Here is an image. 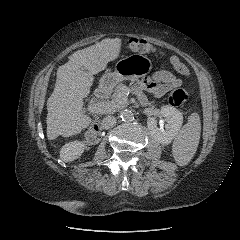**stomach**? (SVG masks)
<instances>
[{"instance_id":"obj_1","label":"stomach","mask_w":240,"mask_h":240,"mask_svg":"<svg viewBox=\"0 0 240 240\" xmlns=\"http://www.w3.org/2000/svg\"><path fill=\"white\" fill-rule=\"evenodd\" d=\"M152 69V62L149 58L141 54H132L120 59L115 65L113 73H106L100 80L103 88H112L118 82L139 78Z\"/></svg>"}]
</instances>
